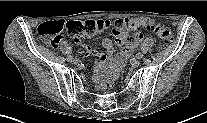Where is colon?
Instances as JSON below:
<instances>
[{
	"instance_id": "colon-1",
	"label": "colon",
	"mask_w": 207,
	"mask_h": 123,
	"mask_svg": "<svg viewBox=\"0 0 207 123\" xmlns=\"http://www.w3.org/2000/svg\"><path fill=\"white\" fill-rule=\"evenodd\" d=\"M110 26V22L103 19H89L85 21H70L65 26L62 21H51L40 24L37 27L36 35L38 39H42L49 43L53 48L59 45L62 39L61 31L66 30L68 38L77 40L82 37H91L103 32ZM115 27L128 31L138 28H144L154 31L159 37L161 43L165 46L172 43L173 36L171 31L162 23H155L146 19L124 18L115 21ZM125 57L118 59V67L125 62ZM117 78V69L111 76L108 86H112Z\"/></svg>"
}]
</instances>
